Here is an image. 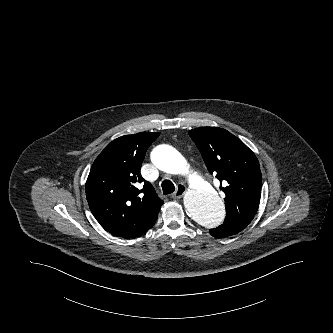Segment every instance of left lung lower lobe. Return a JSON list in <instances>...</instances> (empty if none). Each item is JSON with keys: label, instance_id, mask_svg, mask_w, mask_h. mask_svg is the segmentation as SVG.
<instances>
[{"label": "left lung lower lobe", "instance_id": "obj_1", "mask_svg": "<svg viewBox=\"0 0 333 333\" xmlns=\"http://www.w3.org/2000/svg\"><path fill=\"white\" fill-rule=\"evenodd\" d=\"M247 225L239 223L235 220H227L217 228L210 229V234L214 237H226L237 234L243 230Z\"/></svg>", "mask_w": 333, "mask_h": 333}]
</instances>
